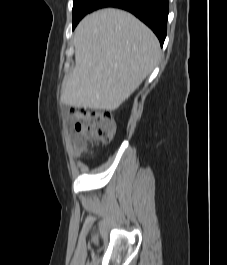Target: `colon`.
Returning a JSON list of instances; mask_svg holds the SVG:
<instances>
[{
    "label": "colon",
    "instance_id": "5ec220e1",
    "mask_svg": "<svg viewBox=\"0 0 227 265\" xmlns=\"http://www.w3.org/2000/svg\"><path fill=\"white\" fill-rule=\"evenodd\" d=\"M75 121V130L81 135L76 143L83 149L94 143H108L116 133V123L112 115L104 110L73 107L69 110Z\"/></svg>",
    "mask_w": 227,
    "mask_h": 265
}]
</instances>
